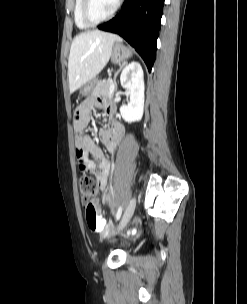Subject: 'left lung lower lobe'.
I'll return each mask as SVG.
<instances>
[{"label":"left lung lower lobe","mask_w":247,"mask_h":304,"mask_svg":"<svg viewBox=\"0 0 247 304\" xmlns=\"http://www.w3.org/2000/svg\"><path fill=\"white\" fill-rule=\"evenodd\" d=\"M163 5L164 0H125L120 13L98 28L123 37L140 54L151 71Z\"/></svg>","instance_id":"1"}]
</instances>
